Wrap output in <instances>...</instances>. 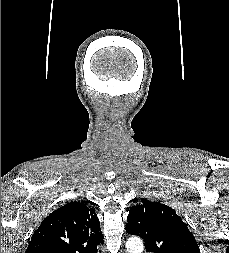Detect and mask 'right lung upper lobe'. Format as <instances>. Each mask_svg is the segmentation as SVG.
<instances>
[{"label":"right lung upper lobe","mask_w":229,"mask_h":253,"mask_svg":"<svg viewBox=\"0 0 229 253\" xmlns=\"http://www.w3.org/2000/svg\"><path fill=\"white\" fill-rule=\"evenodd\" d=\"M100 244L103 234L95 210L71 202L41 222L25 253H98Z\"/></svg>","instance_id":"cb5924a9"}]
</instances>
